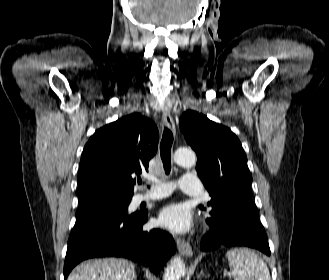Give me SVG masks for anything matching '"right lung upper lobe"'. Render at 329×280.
Returning <instances> with one entry per match:
<instances>
[{
    "mask_svg": "<svg viewBox=\"0 0 329 280\" xmlns=\"http://www.w3.org/2000/svg\"><path fill=\"white\" fill-rule=\"evenodd\" d=\"M159 133L155 123L139 113L98 129L82 152L79 200L91 197H132L134 175L148 171L156 154Z\"/></svg>",
    "mask_w": 329,
    "mask_h": 280,
    "instance_id": "right-lung-upper-lobe-1",
    "label": "right lung upper lobe"
}]
</instances>
